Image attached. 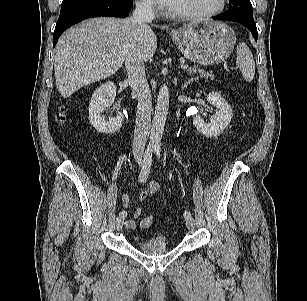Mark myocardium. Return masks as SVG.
I'll use <instances>...</instances> for the list:
<instances>
[{"mask_svg":"<svg viewBox=\"0 0 307 301\" xmlns=\"http://www.w3.org/2000/svg\"><path fill=\"white\" fill-rule=\"evenodd\" d=\"M226 6L227 0H220L218 6L210 11L198 13H179L171 11L170 15L181 20H203L221 14L225 10Z\"/></svg>","mask_w":307,"mask_h":301,"instance_id":"obj_1","label":"myocardium"}]
</instances>
